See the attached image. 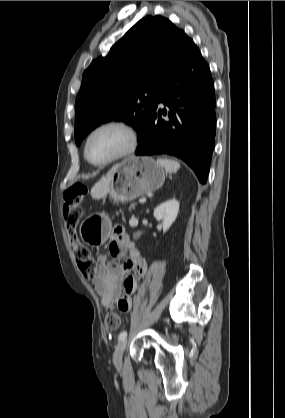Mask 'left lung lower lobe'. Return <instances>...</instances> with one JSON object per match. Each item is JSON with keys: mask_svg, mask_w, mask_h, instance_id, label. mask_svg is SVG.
I'll return each mask as SVG.
<instances>
[{"mask_svg": "<svg viewBox=\"0 0 285 418\" xmlns=\"http://www.w3.org/2000/svg\"><path fill=\"white\" fill-rule=\"evenodd\" d=\"M159 103L168 106L169 121L161 118L167 111L157 109ZM215 105L210 68L193 40L185 34L163 79L149 128L135 154L176 156L194 170L201 183H205L215 146ZM179 106L187 109L180 110Z\"/></svg>", "mask_w": 285, "mask_h": 418, "instance_id": "left-lung-lower-lobe-1", "label": "left lung lower lobe"}]
</instances>
